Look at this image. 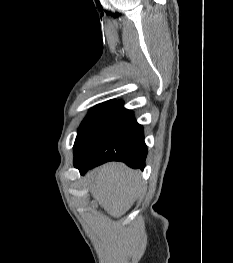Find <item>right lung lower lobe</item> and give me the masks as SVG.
I'll use <instances>...</instances> for the list:
<instances>
[{"label":"right lung lower lobe","instance_id":"98d812e1","mask_svg":"<svg viewBox=\"0 0 233 263\" xmlns=\"http://www.w3.org/2000/svg\"><path fill=\"white\" fill-rule=\"evenodd\" d=\"M146 155L143 127L120 101L115 102L98 124L74 144V166L81 174L108 161H121L143 170Z\"/></svg>","mask_w":233,"mask_h":263}]
</instances>
